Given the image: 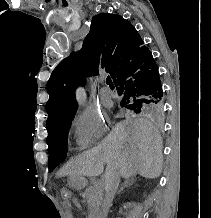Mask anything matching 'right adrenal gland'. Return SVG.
<instances>
[{
    "label": "right adrenal gland",
    "instance_id": "1",
    "mask_svg": "<svg viewBox=\"0 0 211 218\" xmlns=\"http://www.w3.org/2000/svg\"><path fill=\"white\" fill-rule=\"evenodd\" d=\"M129 184H130L129 178H124V182H123V184H121V186L118 190L119 194H122L124 188H127V186H129Z\"/></svg>",
    "mask_w": 211,
    "mask_h": 218
}]
</instances>
